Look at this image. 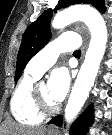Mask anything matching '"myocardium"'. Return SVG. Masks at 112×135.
Returning <instances> with one entry per match:
<instances>
[{
  "instance_id": "obj_1",
  "label": "myocardium",
  "mask_w": 112,
  "mask_h": 135,
  "mask_svg": "<svg viewBox=\"0 0 112 135\" xmlns=\"http://www.w3.org/2000/svg\"><path fill=\"white\" fill-rule=\"evenodd\" d=\"M39 83L35 84L32 89V100L35 109L43 116H49L56 113L59 110V105L55 104L53 106L47 105L41 98L38 91Z\"/></svg>"
}]
</instances>
